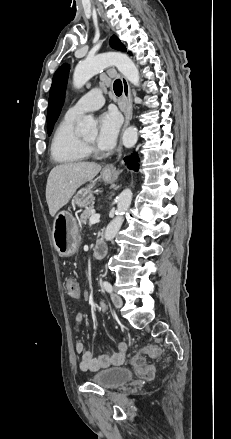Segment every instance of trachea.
I'll return each mask as SVG.
<instances>
[{
	"mask_svg": "<svg viewBox=\"0 0 231 439\" xmlns=\"http://www.w3.org/2000/svg\"><path fill=\"white\" fill-rule=\"evenodd\" d=\"M113 89L117 96H120L122 94L123 86L120 79L115 80L113 84Z\"/></svg>",
	"mask_w": 231,
	"mask_h": 439,
	"instance_id": "1",
	"label": "trachea"
}]
</instances>
